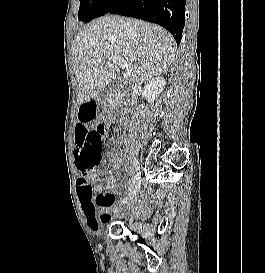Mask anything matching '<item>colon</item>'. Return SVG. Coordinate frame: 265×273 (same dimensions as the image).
Here are the masks:
<instances>
[{
	"label": "colon",
	"instance_id": "obj_1",
	"mask_svg": "<svg viewBox=\"0 0 265 273\" xmlns=\"http://www.w3.org/2000/svg\"><path fill=\"white\" fill-rule=\"evenodd\" d=\"M95 115V114H94ZM115 122L99 124L93 129H76V150L79 156V166L84 176L95 171L101 161V147L105 139H110L116 133ZM82 194L89 196L92 194V187L84 179L82 181Z\"/></svg>",
	"mask_w": 265,
	"mask_h": 273
}]
</instances>
